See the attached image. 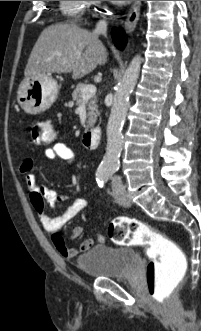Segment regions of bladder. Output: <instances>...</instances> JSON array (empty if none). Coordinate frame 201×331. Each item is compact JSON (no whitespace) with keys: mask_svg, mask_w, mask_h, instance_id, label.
Masks as SVG:
<instances>
[{"mask_svg":"<svg viewBox=\"0 0 201 331\" xmlns=\"http://www.w3.org/2000/svg\"><path fill=\"white\" fill-rule=\"evenodd\" d=\"M135 252L128 247L98 244L76 260L79 270L91 278L125 277L135 261Z\"/></svg>","mask_w":201,"mask_h":331,"instance_id":"obj_1","label":"bladder"}]
</instances>
